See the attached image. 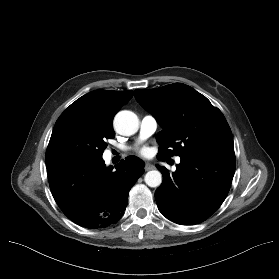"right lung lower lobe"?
<instances>
[{
	"label": "right lung lower lobe",
	"mask_w": 279,
	"mask_h": 279,
	"mask_svg": "<svg viewBox=\"0 0 279 279\" xmlns=\"http://www.w3.org/2000/svg\"><path fill=\"white\" fill-rule=\"evenodd\" d=\"M52 195L63 213L86 228L116 223L126 209L129 191L144 173V162L128 156L115 166L104 160L47 167Z\"/></svg>",
	"instance_id": "right-lung-lower-lobe-1"
}]
</instances>
